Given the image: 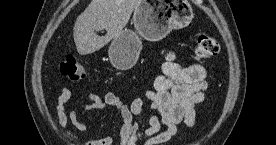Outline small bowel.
Wrapping results in <instances>:
<instances>
[{"label":"small bowel","mask_w":276,"mask_h":145,"mask_svg":"<svg viewBox=\"0 0 276 145\" xmlns=\"http://www.w3.org/2000/svg\"><path fill=\"white\" fill-rule=\"evenodd\" d=\"M164 57V61L159 65L161 74L155 79L154 89L145 94V100L159 115L146 113L145 100L142 98L126 104L113 91L107 92L104 97L94 93L74 96L72 90L65 87L57 97L55 105L62 131L67 136L78 139L77 135L67 130V125L71 123L79 132H85L86 113L92 110L106 111L110 107L115 108L121 117L118 133L120 145H135L141 139H145V145L166 144L176 137L181 123L192 127L196 121V106L205 99V68L199 64L181 66L172 52H166ZM81 99L87 100V104L80 112L75 105ZM135 116H145L148 126L140 128L134 120ZM162 127L165 129L161 130ZM113 141V133L108 132L101 138L88 141L86 145H112Z\"/></svg>","instance_id":"small-bowel-1"}]
</instances>
